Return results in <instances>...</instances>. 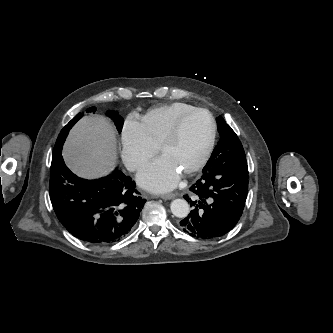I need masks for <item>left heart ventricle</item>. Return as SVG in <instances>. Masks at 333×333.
<instances>
[{
  "label": "left heart ventricle",
  "mask_w": 333,
  "mask_h": 333,
  "mask_svg": "<svg viewBox=\"0 0 333 333\" xmlns=\"http://www.w3.org/2000/svg\"><path fill=\"white\" fill-rule=\"evenodd\" d=\"M210 133V120L206 113L198 112L186 119L178 138L168 145L162 156L183 173L200 158Z\"/></svg>",
  "instance_id": "left-heart-ventricle-1"
}]
</instances>
